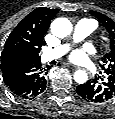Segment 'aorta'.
<instances>
[{"instance_id":"obj_1","label":"aorta","mask_w":115,"mask_h":119,"mask_svg":"<svg viewBox=\"0 0 115 119\" xmlns=\"http://www.w3.org/2000/svg\"><path fill=\"white\" fill-rule=\"evenodd\" d=\"M51 31L58 37H66L71 31L70 24L65 19H57L52 23ZM74 79L77 83L83 84L88 80V76L85 71L80 70L75 73Z\"/></svg>"}]
</instances>
